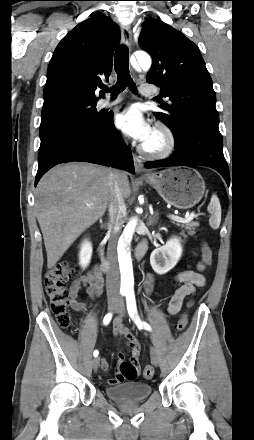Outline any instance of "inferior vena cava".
Wrapping results in <instances>:
<instances>
[{
    "mask_svg": "<svg viewBox=\"0 0 254 440\" xmlns=\"http://www.w3.org/2000/svg\"><path fill=\"white\" fill-rule=\"evenodd\" d=\"M109 178L110 197L108 203V212L110 218V229L108 233L109 243L107 248L109 269L106 276V290L108 295L118 296L119 268L117 264V242L123 225V217L126 214V205L119 186L118 171H111Z\"/></svg>",
    "mask_w": 254,
    "mask_h": 440,
    "instance_id": "inferior-vena-cava-1",
    "label": "inferior vena cava"
}]
</instances>
